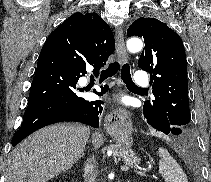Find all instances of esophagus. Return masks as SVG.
<instances>
[{
    "instance_id": "obj_1",
    "label": "esophagus",
    "mask_w": 211,
    "mask_h": 182,
    "mask_svg": "<svg viewBox=\"0 0 211 182\" xmlns=\"http://www.w3.org/2000/svg\"><path fill=\"white\" fill-rule=\"evenodd\" d=\"M115 40H116V54L117 58L121 63H124L127 61V53L125 49V42H124V34L122 28L118 27L115 29ZM123 113L122 109H119L117 113H115L114 118L117 120L118 118H121V115Z\"/></svg>"
}]
</instances>
